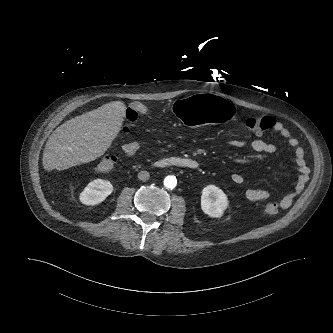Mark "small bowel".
I'll list each match as a JSON object with an SVG mask.
<instances>
[{
    "mask_svg": "<svg viewBox=\"0 0 333 333\" xmlns=\"http://www.w3.org/2000/svg\"><path fill=\"white\" fill-rule=\"evenodd\" d=\"M275 132L279 133L287 142V144L293 149L295 155V161L298 167L299 176L295 187L287 192L280 200V206L283 209L290 207L293 200L298 196L306 183L308 175V167L305 161V153L303 148L300 146L299 140L294 137L286 126L281 122L273 119L272 128ZM228 145L234 149H250L257 153L271 154L277 149L276 145L271 142L264 141L260 138H254L251 140L233 139L228 142ZM139 149L137 142H129L125 145V151L127 154H134ZM231 181L235 184H243L245 179L240 173H233L231 175ZM245 197L250 201H262L269 199L271 194L269 191L264 189H252L247 188L244 191Z\"/></svg>",
    "mask_w": 333,
    "mask_h": 333,
    "instance_id": "small-bowel-1",
    "label": "small bowel"
}]
</instances>
